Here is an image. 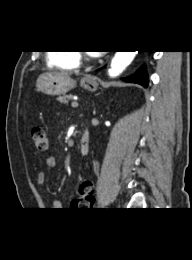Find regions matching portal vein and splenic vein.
<instances>
[{"mask_svg":"<svg viewBox=\"0 0 192 260\" xmlns=\"http://www.w3.org/2000/svg\"><path fill=\"white\" fill-rule=\"evenodd\" d=\"M71 106H72L73 108L78 107V102H77V101H73V102L71 103Z\"/></svg>","mask_w":192,"mask_h":260,"instance_id":"obj_1","label":"portal vein and splenic vein"}]
</instances>
